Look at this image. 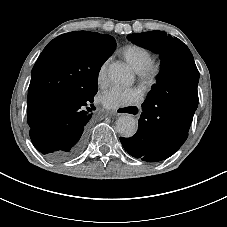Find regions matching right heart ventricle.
<instances>
[{"label": "right heart ventricle", "mask_w": 227, "mask_h": 227, "mask_svg": "<svg viewBox=\"0 0 227 227\" xmlns=\"http://www.w3.org/2000/svg\"><path fill=\"white\" fill-rule=\"evenodd\" d=\"M123 57L130 67L136 71H142L152 60L151 52L139 44H128L121 49Z\"/></svg>", "instance_id": "1"}]
</instances>
